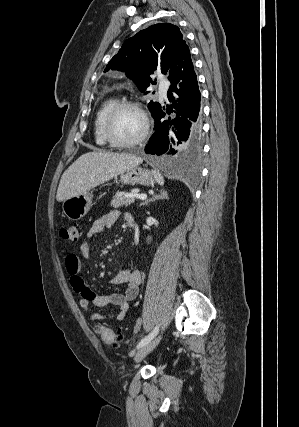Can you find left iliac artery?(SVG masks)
I'll return each mask as SVG.
<instances>
[{"label": "left iliac artery", "instance_id": "1", "mask_svg": "<svg viewBox=\"0 0 299 427\" xmlns=\"http://www.w3.org/2000/svg\"><path fill=\"white\" fill-rule=\"evenodd\" d=\"M158 330H159V327L158 326H156L155 328H154V330L150 333V334H148L146 337H144L140 342H139V344L137 345V348L139 349V348H141L142 346H144L145 344H147L148 342H150L156 335H157V333H158Z\"/></svg>", "mask_w": 299, "mask_h": 427}]
</instances>
